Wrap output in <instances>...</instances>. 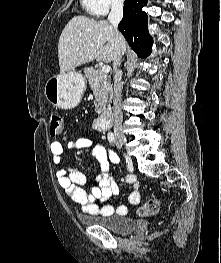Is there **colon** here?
Segmentation results:
<instances>
[{
    "label": "colon",
    "instance_id": "5ec220e1",
    "mask_svg": "<svg viewBox=\"0 0 221 263\" xmlns=\"http://www.w3.org/2000/svg\"><path fill=\"white\" fill-rule=\"evenodd\" d=\"M63 132V120L62 117L53 113L50 117V134L53 137L59 136ZM160 203L157 199H149L138 209V215L141 217L151 216L158 213Z\"/></svg>",
    "mask_w": 221,
    "mask_h": 263
}]
</instances>
